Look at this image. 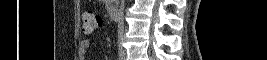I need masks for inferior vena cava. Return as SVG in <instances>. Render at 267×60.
Instances as JSON below:
<instances>
[{"mask_svg": "<svg viewBox=\"0 0 267 60\" xmlns=\"http://www.w3.org/2000/svg\"><path fill=\"white\" fill-rule=\"evenodd\" d=\"M123 11H124V0H122V4L119 10V20H118V33L122 34L124 31V18H123ZM122 52V50H121Z\"/></svg>", "mask_w": 267, "mask_h": 60, "instance_id": "inferior-vena-cava-1", "label": "inferior vena cava"}]
</instances>
